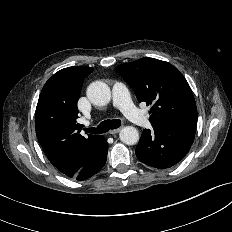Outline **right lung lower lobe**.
<instances>
[{
    "mask_svg": "<svg viewBox=\"0 0 232 232\" xmlns=\"http://www.w3.org/2000/svg\"><path fill=\"white\" fill-rule=\"evenodd\" d=\"M108 144L102 137L99 146L92 152L83 167L73 176L77 180H85L99 172L106 163Z\"/></svg>",
    "mask_w": 232,
    "mask_h": 232,
    "instance_id": "obj_1",
    "label": "right lung lower lobe"
}]
</instances>
